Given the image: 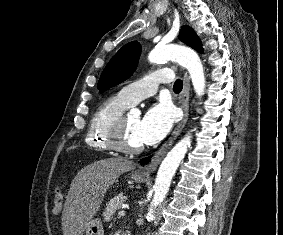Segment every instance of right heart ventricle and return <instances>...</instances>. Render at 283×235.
<instances>
[{
  "mask_svg": "<svg viewBox=\"0 0 283 235\" xmlns=\"http://www.w3.org/2000/svg\"><path fill=\"white\" fill-rule=\"evenodd\" d=\"M120 93L104 100L95 109L86 132L85 142L89 149L111 152L114 150L109 132L114 122L130 107Z\"/></svg>",
  "mask_w": 283,
  "mask_h": 235,
  "instance_id": "right-heart-ventricle-1",
  "label": "right heart ventricle"
}]
</instances>
